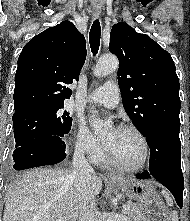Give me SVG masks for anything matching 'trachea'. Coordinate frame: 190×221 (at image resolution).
I'll use <instances>...</instances> for the list:
<instances>
[{
  "label": "trachea",
  "instance_id": "1",
  "mask_svg": "<svg viewBox=\"0 0 190 221\" xmlns=\"http://www.w3.org/2000/svg\"><path fill=\"white\" fill-rule=\"evenodd\" d=\"M101 26L98 19H96L90 29L89 43L93 55H96L100 46Z\"/></svg>",
  "mask_w": 190,
  "mask_h": 221
}]
</instances>
